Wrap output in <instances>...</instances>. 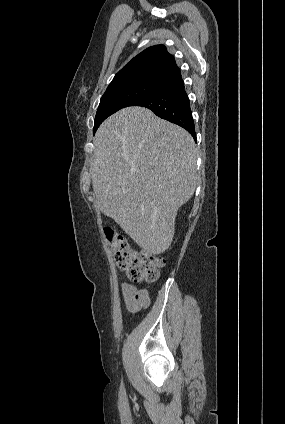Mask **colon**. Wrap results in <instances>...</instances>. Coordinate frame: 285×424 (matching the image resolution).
I'll list each match as a JSON object with an SVG mask.
<instances>
[{"mask_svg": "<svg viewBox=\"0 0 285 424\" xmlns=\"http://www.w3.org/2000/svg\"><path fill=\"white\" fill-rule=\"evenodd\" d=\"M104 234L113 250L118 267L126 270L131 281L157 280L159 270L165 265L163 258L147 251L135 250L124 235L114 228L106 227Z\"/></svg>", "mask_w": 285, "mask_h": 424, "instance_id": "1", "label": "colon"}]
</instances>
